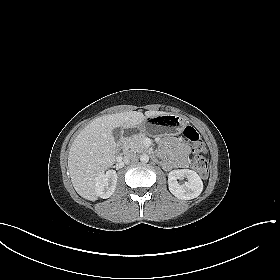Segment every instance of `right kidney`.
Returning a JSON list of instances; mask_svg holds the SVG:
<instances>
[{"instance_id": "obj_1", "label": "right kidney", "mask_w": 280, "mask_h": 280, "mask_svg": "<svg viewBox=\"0 0 280 280\" xmlns=\"http://www.w3.org/2000/svg\"><path fill=\"white\" fill-rule=\"evenodd\" d=\"M117 178V173L114 170L101 173L95 182L96 194L103 199L109 198L116 189Z\"/></svg>"}]
</instances>
